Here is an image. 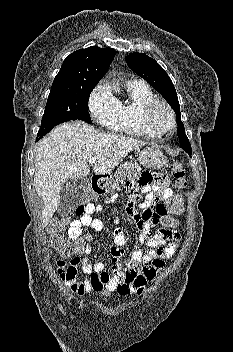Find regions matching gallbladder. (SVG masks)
Segmentation results:
<instances>
[{"mask_svg": "<svg viewBox=\"0 0 233 352\" xmlns=\"http://www.w3.org/2000/svg\"><path fill=\"white\" fill-rule=\"evenodd\" d=\"M88 187V183L81 179H68L60 190V203L58 212L67 215L80 204Z\"/></svg>", "mask_w": 233, "mask_h": 352, "instance_id": "1", "label": "gallbladder"}]
</instances>
